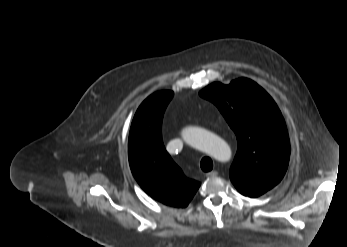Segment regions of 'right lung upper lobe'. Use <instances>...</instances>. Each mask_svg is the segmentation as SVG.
Segmentation results:
<instances>
[{
  "mask_svg": "<svg viewBox=\"0 0 347 247\" xmlns=\"http://www.w3.org/2000/svg\"><path fill=\"white\" fill-rule=\"evenodd\" d=\"M173 96L171 91L150 95L133 118L128 157L133 176L155 200L173 207H186L200 183L190 180L174 163L162 141V119Z\"/></svg>",
  "mask_w": 347,
  "mask_h": 247,
  "instance_id": "1",
  "label": "right lung upper lobe"
}]
</instances>
